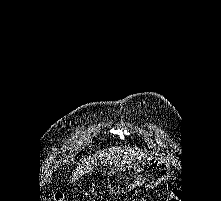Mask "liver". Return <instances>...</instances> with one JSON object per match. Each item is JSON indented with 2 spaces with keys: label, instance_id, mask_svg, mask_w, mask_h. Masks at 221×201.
<instances>
[{
  "label": "liver",
  "instance_id": "6515ba94",
  "mask_svg": "<svg viewBox=\"0 0 221 201\" xmlns=\"http://www.w3.org/2000/svg\"><path fill=\"white\" fill-rule=\"evenodd\" d=\"M146 157H148L146 152L124 146L103 149L81 161V164L76 167L71 180L74 181L83 174L91 171L97 162H101V164L105 166H117L132 163L135 160L144 159Z\"/></svg>",
  "mask_w": 221,
  "mask_h": 201
}]
</instances>
